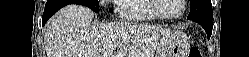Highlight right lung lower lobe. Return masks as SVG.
Returning a JSON list of instances; mask_svg holds the SVG:
<instances>
[{
	"instance_id": "obj_1",
	"label": "right lung lower lobe",
	"mask_w": 249,
	"mask_h": 57,
	"mask_svg": "<svg viewBox=\"0 0 249 57\" xmlns=\"http://www.w3.org/2000/svg\"><path fill=\"white\" fill-rule=\"evenodd\" d=\"M68 4H78V3H71V2H47L45 5V10L43 13L42 23L43 25L46 23V21L60 8L68 5Z\"/></svg>"
}]
</instances>
